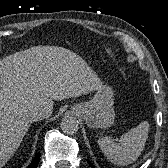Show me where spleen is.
I'll return each mask as SVG.
<instances>
[{
  "label": "spleen",
  "instance_id": "obj_1",
  "mask_svg": "<svg viewBox=\"0 0 168 168\" xmlns=\"http://www.w3.org/2000/svg\"><path fill=\"white\" fill-rule=\"evenodd\" d=\"M149 131V123L141 122L137 127L123 134L119 142L110 137H101L97 143L103 154L116 165H129L142 153Z\"/></svg>",
  "mask_w": 168,
  "mask_h": 168
}]
</instances>
